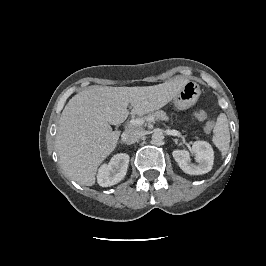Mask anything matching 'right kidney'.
Returning <instances> with one entry per match:
<instances>
[{"mask_svg":"<svg viewBox=\"0 0 266 266\" xmlns=\"http://www.w3.org/2000/svg\"><path fill=\"white\" fill-rule=\"evenodd\" d=\"M129 159V155L125 153L114 155L108 164H103L99 168L98 184L109 187L119 183L127 173Z\"/></svg>","mask_w":266,"mask_h":266,"instance_id":"ca27d5eb","label":"right kidney"}]
</instances>
